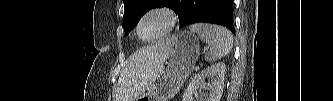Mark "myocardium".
Wrapping results in <instances>:
<instances>
[{"instance_id":"1","label":"myocardium","mask_w":333,"mask_h":101,"mask_svg":"<svg viewBox=\"0 0 333 101\" xmlns=\"http://www.w3.org/2000/svg\"><path fill=\"white\" fill-rule=\"evenodd\" d=\"M152 15H160V16L165 17L167 19V25H166L165 29L162 32H160L159 34H157L151 38H143L140 33L141 25L146 18H148ZM177 22H178V16H177L176 12L174 10H172L171 8H169V7L152 8V9H149L146 12H144L139 17L137 24H136V34L139 37V39H141L142 41L152 42V41L158 40L160 38H163V37L167 36L169 33H171L174 30V28L176 27Z\"/></svg>"}]
</instances>
